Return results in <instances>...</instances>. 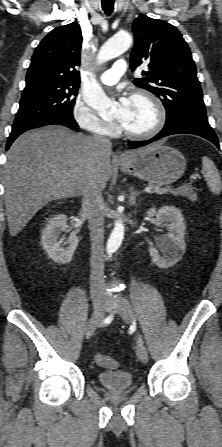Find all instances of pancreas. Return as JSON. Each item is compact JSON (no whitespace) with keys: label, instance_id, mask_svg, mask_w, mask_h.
Instances as JSON below:
<instances>
[{"label":"pancreas","instance_id":"pancreas-1","mask_svg":"<svg viewBox=\"0 0 222 447\" xmlns=\"http://www.w3.org/2000/svg\"><path fill=\"white\" fill-rule=\"evenodd\" d=\"M149 187H151L150 193H158V187L156 185L149 184ZM170 193H172L174 196H182L188 198L191 201H197V194L191 185L180 186L174 190H170Z\"/></svg>","mask_w":222,"mask_h":447}]
</instances>
